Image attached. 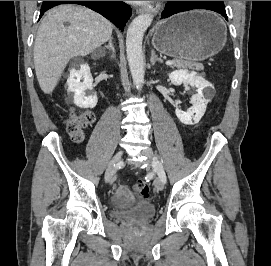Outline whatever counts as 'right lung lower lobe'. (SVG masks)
Wrapping results in <instances>:
<instances>
[{
    "instance_id": "right-lung-lower-lobe-1",
    "label": "right lung lower lobe",
    "mask_w": 271,
    "mask_h": 266,
    "mask_svg": "<svg viewBox=\"0 0 271 266\" xmlns=\"http://www.w3.org/2000/svg\"><path fill=\"white\" fill-rule=\"evenodd\" d=\"M66 3L84 5L103 15L121 30L131 16L130 7L120 1H43L40 17L48 9Z\"/></svg>"
}]
</instances>
